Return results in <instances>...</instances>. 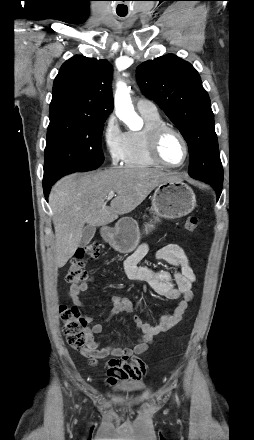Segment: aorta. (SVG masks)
Here are the masks:
<instances>
[{"mask_svg":"<svg viewBox=\"0 0 254 440\" xmlns=\"http://www.w3.org/2000/svg\"><path fill=\"white\" fill-rule=\"evenodd\" d=\"M117 87L118 90L114 99L116 115L131 130H137L141 127L142 121L134 111L130 95L125 90V84L118 82Z\"/></svg>","mask_w":254,"mask_h":440,"instance_id":"obj_1","label":"aorta"}]
</instances>
